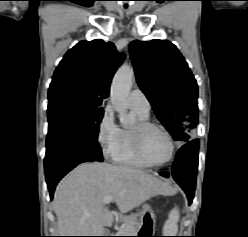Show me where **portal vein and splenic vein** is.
Listing matches in <instances>:
<instances>
[{
  "instance_id": "1",
  "label": "portal vein and splenic vein",
  "mask_w": 248,
  "mask_h": 237,
  "mask_svg": "<svg viewBox=\"0 0 248 237\" xmlns=\"http://www.w3.org/2000/svg\"><path fill=\"white\" fill-rule=\"evenodd\" d=\"M112 200H114V196L113 195H108V196L105 197L104 203L109 204Z\"/></svg>"
}]
</instances>
